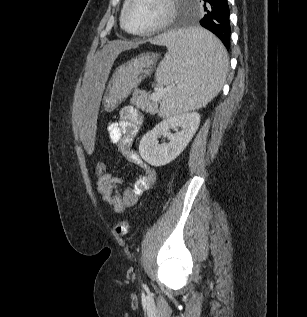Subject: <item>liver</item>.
Wrapping results in <instances>:
<instances>
[{
  "label": "liver",
  "instance_id": "6515ba94",
  "mask_svg": "<svg viewBox=\"0 0 307 317\" xmlns=\"http://www.w3.org/2000/svg\"><path fill=\"white\" fill-rule=\"evenodd\" d=\"M138 43L113 41L106 45L97 55L85 73L82 97L76 107L77 124L81 135V153L95 154L98 147V135H92L97 126L99 104H102V94L106 78L110 77V68L115 58L124 50L135 48ZM168 92V91H167ZM89 104V105H87Z\"/></svg>",
  "mask_w": 307,
  "mask_h": 317
}]
</instances>
